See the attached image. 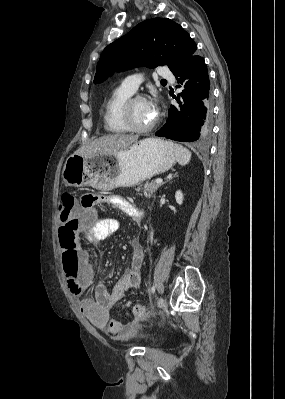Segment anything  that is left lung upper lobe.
I'll return each instance as SVG.
<instances>
[{"label": "left lung upper lobe", "instance_id": "obj_1", "mask_svg": "<svg viewBox=\"0 0 285 399\" xmlns=\"http://www.w3.org/2000/svg\"><path fill=\"white\" fill-rule=\"evenodd\" d=\"M196 49V43L181 25L167 18L148 19L103 50L94 83L137 66L167 65L174 72Z\"/></svg>", "mask_w": 285, "mask_h": 399}]
</instances>
